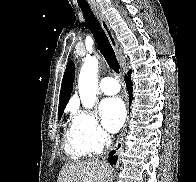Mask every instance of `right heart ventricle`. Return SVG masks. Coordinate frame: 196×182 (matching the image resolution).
<instances>
[{
	"mask_svg": "<svg viewBox=\"0 0 196 182\" xmlns=\"http://www.w3.org/2000/svg\"><path fill=\"white\" fill-rule=\"evenodd\" d=\"M65 151L70 158L75 160L82 159L88 154L80 143L73 124L68 128L65 134Z\"/></svg>",
	"mask_w": 196,
	"mask_h": 182,
	"instance_id": "1",
	"label": "right heart ventricle"
}]
</instances>
